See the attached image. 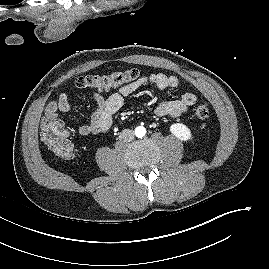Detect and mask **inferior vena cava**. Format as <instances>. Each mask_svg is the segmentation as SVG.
<instances>
[{
	"instance_id": "inferior-vena-cava-1",
	"label": "inferior vena cava",
	"mask_w": 269,
	"mask_h": 269,
	"mask_svg": "<svg viewBox=\"0 0 269 269\" xmlns=\"http://www.w3.org/2000/svg\"><path fill=\"white\" fill-rule=\"evenodd\" d=\"M120 140H123L125 142H130L134 139V131L131 129H125L120 133L119 136Z\"/></svg>"
}]
</instances>
